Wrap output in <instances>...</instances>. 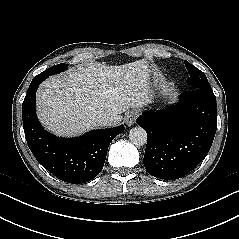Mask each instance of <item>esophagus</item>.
<instances>
[{"label": "esophagus", "mask_w": 239, "mask_h": 239, "mask_svg": "<svg viewBox=\"0 0 239 239\" xmlns=\"http://www.w3.org/2000/svg\"><path fill=\"white\" fill-rule=\"evenodd\" d=\"M137 118V114L135 111H129L128 113H126L125 117H124V122L127 126H132Z\"/></svg>", "instance_id": "1"}]
</instances>
